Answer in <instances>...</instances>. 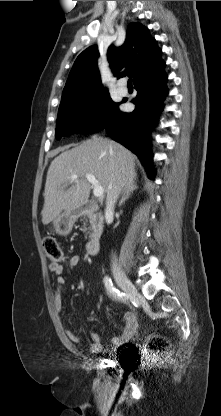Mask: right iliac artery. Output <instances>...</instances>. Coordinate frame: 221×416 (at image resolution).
Segmentation results:
<instances>
[{
    "instance_id": "82829eb1",
    "label": "right iliac artery",
    "mask_w": 221,
    "mask_h": 416,
    "mask_svg": "<svg viewBox=\"0 0 221 416\" xmlns=\"http://www.w3.org/2000/svg\"><path fill=\"white\" fill-rule=\"evenodd\" d=\"M104 284H105V287H106V289H107L108 293H109L112 297H114V298H116V299H119V300H122V301H126L125 293H123V292L119 291V290H118V289H117V288L113 285L112 280H111V278H110V277L106 276V277L104 278Z\"/></svg>"
}]
</instances>
